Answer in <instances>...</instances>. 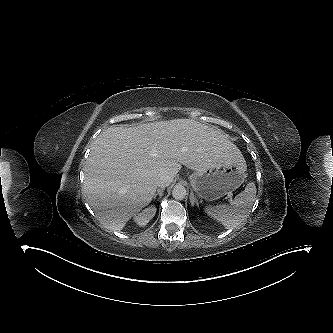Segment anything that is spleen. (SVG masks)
<instances>
[{
    "mask_svg": "<svg viewBox=\"0 0 333 333\" xmlns=\"http://www.w3.org/2000/svg\"><path fill=\"white\" fill-rule=\"evenodd\" d=\"M256 186L248 183L245 190L238 194L228 205L207 206L204 211L225 228L233 229L247 219L256 199Z\"/></svg>",
    "mask_w": 333,
    "mask_h": 333,
    "instance_id": "spleen-1",
    "label": "spleen"
}]
</instances>
